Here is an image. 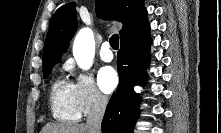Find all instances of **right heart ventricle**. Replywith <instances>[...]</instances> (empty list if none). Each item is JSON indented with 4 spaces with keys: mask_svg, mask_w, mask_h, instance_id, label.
<instances>
[{
    "mask_svg": "<svg viewBox=\"0 0 221 133\" xmlns=\"http://www.w3.org/2000/svg\"><path fill=\"white\" fill-rule=\"evenodd\" d=\"M50 108L55 119L61 122H76L81 113L76 102L72 83L58 78L50 89Z\"/></svg>",
    "mask_w": 221,
    "mask_h": 133,
    "instance_id": "1",
    "label": "right heart ventricle"
}]
</instances>
